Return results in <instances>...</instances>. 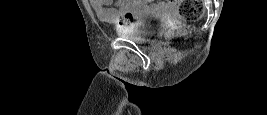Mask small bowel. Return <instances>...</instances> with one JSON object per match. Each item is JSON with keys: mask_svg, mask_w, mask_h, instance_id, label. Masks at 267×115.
Here are the masks:
<instances>
[{"mask_svg": "<svg viewBox=\"0 0 267 115\" xmlns=\"http://www.w3.org/2000/svg\"><path fill=\"white\" fill-rule=\"evenodd\" d=\"M90 4L96 14L102 18L116 19L118 12L109 6L115 4L121 9L131 8L136 18L144 14L168 15L178 10V5L172 2L151 0H90Z\"/></svg>", "mask_w": 267, "mask_h": 115, "instance_id": "c3829d8e", "label": "small bowel"}]
</instances>
